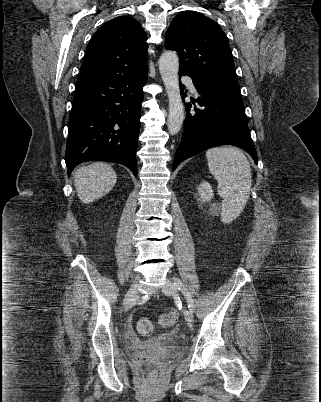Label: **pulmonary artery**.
<instances>
[{"label":"pulmonary artery","instance_id":"e3ab8cb5","mask_svg":"<svg viewBox=\"0 0 321 402\" xmlns=\"http://www.w3.org/2000/svg\"><path fill=\"white\" fill-rule=\"evenodd\" d=\"M181 81H182L184 84L188 85V87H189V89H190V91H191L192 93H194V94L197 93L196 88H195V86H194V84H193V82H192L191 77H189V76H182V77H181Z\"/></svg>","mask_w":321,"mask_h":402}]
</instances>
